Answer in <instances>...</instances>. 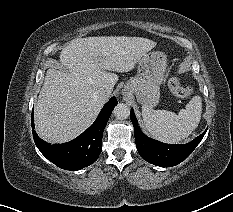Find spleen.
Here are the masks:
<instances>
[{"label":"spleen","mask_w":233,"mask_h":212,"mask_svg":"<svg viewBox=\"0 0 233 212\" xmlns=\"http://www.w3.org/2000/svg\"><path fill=\"white\" fill-rule=\"evenodd\" d=\"M201 113L200 96H194L178 115L171 111L142 106L146 129L154 138L166 143H178L187 138L198 127Z\"/></svg>","instance_id":"3e777b00"}]
</instances>
